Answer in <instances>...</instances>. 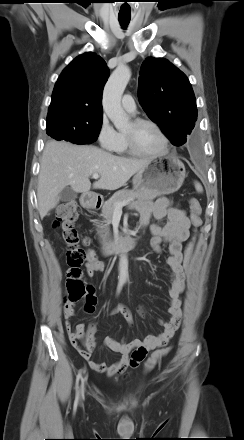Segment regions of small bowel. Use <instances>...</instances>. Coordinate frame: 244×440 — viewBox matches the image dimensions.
Returning a JSON list of instances; mask_svg holds the SVG:
<instances>
[{"instance_id":"obj_1","label":"small bowel","mask_w":244,"mask_h":440,"mask_svg":"<svg viewBox=\"0 0 244 440\" xmlns=\"http://www.w3.org/2000/svg\"><path fill=\"white\" fill-rule=\"evenodd\" d=\"M131 207L140 214V227L145 228L149 226L152 234L150 244L153 251L161 253L162 244L168 245L166 264L171 270V285L169 288L170 306L168 308L169 319L160 321V324L163 326V331L160 334L148 335L144 340L133 339L131 341H118L111 337H106L103 341L102 348L120 355L118 361L107 366L105 363L95 362L91 359L92 352L96 348L94 325H90L86 334L84 332V324H77L75 329L72 330L71 318L75 313L74 306L65 310V328L72 345L77 349L82 358L88 362L92 370L105 374L108 377L124 375L128 367H138L147 351L162 347L168 343L174 336L181 322V294L184 290L185 277L182 266V245L189 236L191 221L185 211L178 207H173L167 198H160L155 202H136L133 203ZM164 217L168 218L164 226H159L155 223V221L161 220ZM103 269L104 264L101 261H89L86 264V271L90 277L101 272ZM94 305L95 302L90 308H85L86 312L92 313L94 311ZM117 313H121L130 325L133 324L132 315L124 306L118 305L111 311L110 315ZM140 314H144L143 308L140 309ZM140 350H144L145 354H140Z\"/></svg>"}]
</instances>
